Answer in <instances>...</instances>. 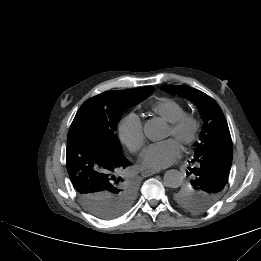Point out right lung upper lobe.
<instances>
[{
	"label": "right lung upper lobe",
	"mask_w": 261,
	"mask_h": 261,
	"mask_svg": "<svg viewBox=\"0 0 261 261\" xmlns=\"http://www.w3.org/2000/svg\"><path fill=\"white\" fill-rule=\"evenodd\" d=\"M152 86L137 88V89H131V90H123L124 92H138V91H144L150 89Z\"/></svg>",
	"instance_id": "obj_1"
}]
</instances>
